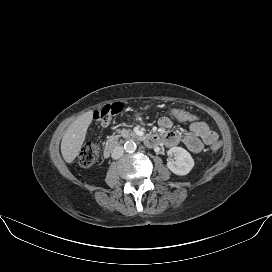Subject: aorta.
Here are the masks:
<instances>
[{
	"instance_id": "aorta-1",
	"label": "aorta",
	"mask_w": 272,
	"mask_h": 272,
	"mask_svg": "<svg viewBox=\"0 0 272 272\" xmlns=\"http://www.w3.org/2000/svg\"><path fill=\"white\" fill-rule=\"evenodd\" d=\"M136 148V143L133 140H128L124 144V149L126 152H134Z\"/></svg>"
}]
</instances>
